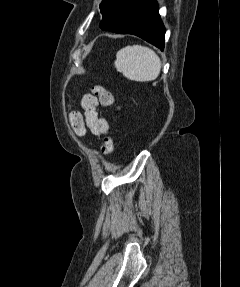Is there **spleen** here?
Returning <instances> with one entry per match:
<instances>
[{
  "mask_svg": "<svg viewBox=\"0 0 240 287\" xmlns=\"http://www.w3.org/2000/svg\"><path fill=\"white\" fill-rule=\"evenodd\" d=\"M114 66L124 77L137 82L155 80L161 70L159 56L142 45L126 46L116 54Z\"/></svg>",
  "mask_w": 240,
  "mask_h": 287,
  "instance_id": "spleen-1",
  "label": "spleen"
}]
</instances>
